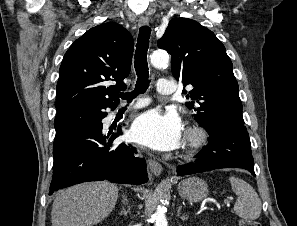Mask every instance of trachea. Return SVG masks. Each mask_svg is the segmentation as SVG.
I'll use <instances>...</instances> for the list:
<instances>
[{
	"label": "trachea",
	"mask_w": 297,
	"mask_h": 226,
	"mask_svg": "<svg viewBox=\"0 0 297 226\" xmlns=\"http://www.w3.org/2000/svg\"><path fill=\"white\" fill-rule=\"evenodd\" d=\"M151 29L148 26H142L137 39L134 67L137 74L136 87L131 93H120V97L131 102L139 94H143L149 87V69L147 63V51L149 47V38Z\"/></svg>",
	"instance_id": "trachea-1"
}]
</instances>
